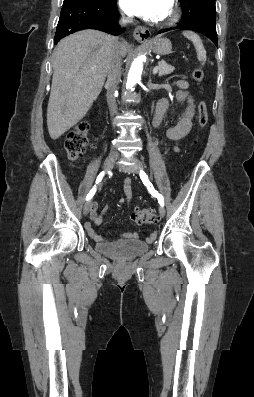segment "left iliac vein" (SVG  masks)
<instances>
[{"instance_id":"left-iliac-vein-1","label":"left iliac vein","mask_w":254,"mask_h":397,"mask_svg":"<svg viewBox=\"0 0 254 397\" xmlns=\"http://www.w3.org/2000/svg\"><path fill=\"white\" fill-rule=\"evenodd\" d=\"M141 167V163L140 162H136L133 166H131L129 169H130V171L133 173V174H138V172H139V168ZM165 213H166V211H165V208L163 207V206H160L159 207V214H160V216L161 217H164L165 216Z\"/></svg>"}]
</instances>
